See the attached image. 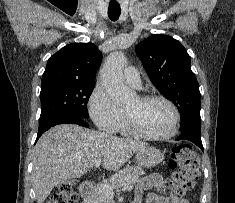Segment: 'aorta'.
Segmentation results:
<instances>
[{
  "label": "aorta",
  "mask_w": 235,
  "mask_h": 203,
  "mask_svg": "<svg viewBox=\"0 0 235 203\" xmlns=\"http://www.w3.org/2000/svg\"><path fill=\"white\" fill-rule=\"evenodd\" d=\"M125 64V55L117 51L111 53L106 58L100 72L102 87L117 105L126 104L131 95L129 89L123 82V69Z\"/></svg>",
  "instance_id": "762f6f07"
}]
</instances>
